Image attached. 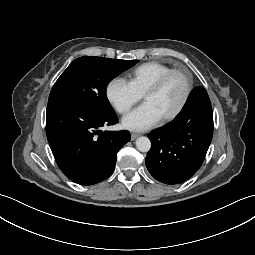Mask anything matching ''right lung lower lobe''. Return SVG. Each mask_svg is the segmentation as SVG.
<instances>
[{
    "label": "right lung lower lobe",
    "mask_w": 255,
    "mask_h": 255,
    "mask_svg": "<svg viewBox=\"0 0 255 255\" xmlns=\"http://www.w3.org/2000/svg\"><path fill=\"white\" fill-rule=\"evenodd\" d=\"M117 122L115 113L100 114L71 103L47 105L48 142L65 176L81 185H93L113 173L117 152L130 141V133L100 129Z\"/></svg>",
    "instance_id": "right-lung-lower-lobe-1"
}]
</instances>
